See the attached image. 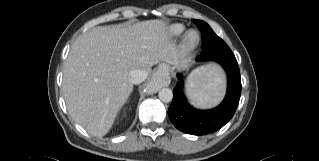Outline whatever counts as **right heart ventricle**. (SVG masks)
Here are the masks:
<instances>
[{
    "instance_id": "right-heart-ventricle-1",
    "label": "right heart ventricle",
    "mask_w": 319,
    "mask_h": 161,
    "mask_svg": "<svg viewBox=\"0 0 319 161\" xmlns=\"http://www.w3.org/2000/svg\"><path fill=\"white\" fill-rule=\"evenodd\" d=\"M185 31V27L182 24H172L168 28V32L171 36H179Z\"/></svg>"
}]
</instances>
